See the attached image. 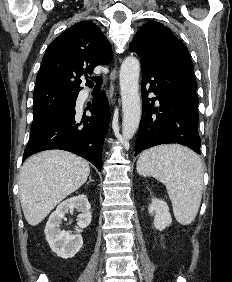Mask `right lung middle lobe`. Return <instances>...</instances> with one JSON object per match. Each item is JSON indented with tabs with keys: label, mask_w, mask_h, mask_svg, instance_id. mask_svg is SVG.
<instances>
[{
	"label": "right lung middle lobe",
	"mask_w": 232,
	"mask_h": 282,
	"mask_svg": "<svg viewBox=\"0 0 232 282\" xmlns=\"http://www.w3.org/2000/svg\"><path fill=\"white\" fill-rule=\"evenodd\" d=\"M78 94L63 91L45 90L34 91L33 122H41L59 110L71 107Z\"/></svg>",
	"instance_id": "right-lung-middle-lobe-1"
}]
</instances>
